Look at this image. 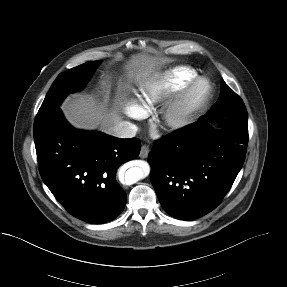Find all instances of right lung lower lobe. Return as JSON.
<instances>
[{
    "label": "right lung lower lobe",
    "mask_w": 287,
    "mask_h": 287,
    "mask_svg": "<svg viewBox=\"0 0 287 287\" xmlns=\"http://www.w3.org/2000/svg\"><path fill=\"white\" fill-rule=\"evenodd\" d=\"M33 134L40 175L71 215L93 224L120 215L127 195L116 182V172L138 157L139 139L77 130L59 106L36 116Z\"/></svg>",
    "instance_id": "right-lung-lower-lobe-1"
}]
</instances>
